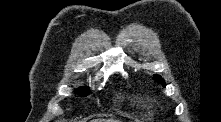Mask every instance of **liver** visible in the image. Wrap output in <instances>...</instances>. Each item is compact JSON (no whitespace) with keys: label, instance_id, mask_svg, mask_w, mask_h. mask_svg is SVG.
<instances>
[{"label":"liver","instance_id":"6515ba94","mask_svg":"<svg viewBox=\"0 0 221 122\" xmlns=\"http://www.w3.org/2000/svg\"><path fill=\"white\" fill-rule=\"evenodd\" d=\"M97 122H118L115 119H99Z\"/></svg>","mask_w":221,"mask_h":122}]
</instances>
